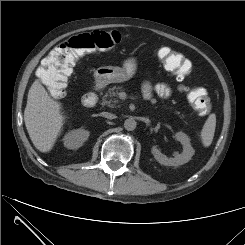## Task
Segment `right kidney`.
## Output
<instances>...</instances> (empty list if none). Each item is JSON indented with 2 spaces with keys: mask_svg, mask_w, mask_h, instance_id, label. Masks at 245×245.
I'll use <instances>...</instances> for the list:
<instances>
[{
  "mask_svg": "<svg viewBox=\"0 0 245 245\" xmlns=\"http://www.w3.org/2000/svg\"><path fill=\"white\" fill-rule=\"evenodd\" d=\"M89 131L85 129H76L68 132L64 138V146L68 149H78L88 139Z\"/></svg>",
  "mask_w": 245,
  "mask_h": 245,
  "instance_id": "1",
  "label": "right kidney"
}]
</instances>
